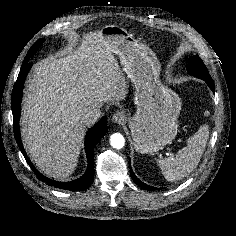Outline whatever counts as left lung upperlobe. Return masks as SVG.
Listing matches in <instances>:
<instances>
[{"mask_svg": "<svg viewBox=\"0 0 236 236\" xmlns=\"http://www.w3.org/2000/svg\"><path fill=\"white\" fill-rule=\"evenodd\" d=\"M188 72L197 77H211L205 67L203 61L198 57V55L193 56L189 59V64L187 65Z\"/></svg>", "mask_w": 236, "mask_h": 236, "instance_id": "left-lung-upper-lobe-1", "label": "left lung upper lobe"}]
</instances>
